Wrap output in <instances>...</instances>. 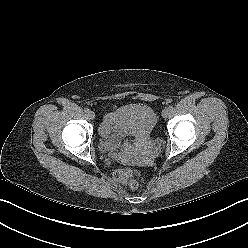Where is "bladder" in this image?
I'll list each match as a JSON object with an SVG mask.
<instances>
[{
	"instance_id": "obj_1",
	"label": "bladder",
	"mask_w": 248,
	"mask_h": 248,
	"mask_svg": "<svg viewBox=\"0 0 248 248\" xmlns=\"http://www.w3.org/2000/svg\"><path fill=\"white\" fill-rule=\"evenodd\" d=\"M119 126L133 139L150 137L157 122L154 110L147 105L129 104L115 111ZM100 147L106 152L118 150L123 142L107 137H100Z\"/></svg>"
}]
</instances>
